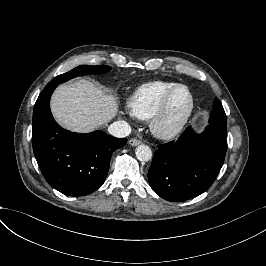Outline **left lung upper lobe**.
<instances>
[{"instance_id":"left-lung-upper-lobe-1","label":"left lung upper lobe","mask_w":266,"mask_h":266,"mask_svg":"<svg viewBox=\"0 0 266 266\" xmlns=\"http://www.w3.org/2000/svg\"><path fill=\"white\" fill-rule=\"evenodd\" d=\"M209 123L216 127L227 128L226 114L221 102L217 98L214 101Z\"/></svg>"}]
</instances>
